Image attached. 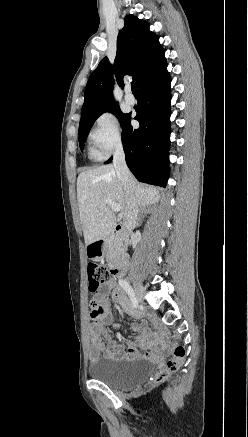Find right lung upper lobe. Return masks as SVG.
I'll return each instance as SVG.
<instances>
[{
    "mask_svg": "<svg viewBox=\"0 0 248 437\" xmlns=\"http://www.w3.org/2000/svg\"><path fill=\"white\" fill-rule=\"evenodd\" d=\"M165 60L159 37L149 30V23L133 15L126 16L117 37L114 65L105 57L89 77L80 121L118 106L112 93L113 71L120 86L123 87L125 75L133 76L139 86Z\"/></svg>",
    "mask_w": 248,
    "mask_h": 437,
    "instance_id": "cb5924a9",
    "label": "right lung upper lobe"
}]
</instances>
